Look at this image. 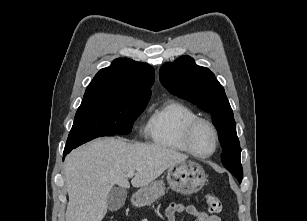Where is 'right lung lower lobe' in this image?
<instances>
[{"mask_svg":"<svg viewBox=\"0 0 307 221\" xmlns=\"http://www.w3.org/2000/svg\"><path fill=\"white\" fill-rule=\"evenodd\" d=\"M67 155V152H63V156L65 157ZM64 157H63V159H64Z\"/></svg>","mask_w":307,"mask_h":221,"instance_id":"1","label":"right lung lower lobe"}]
</instances>
